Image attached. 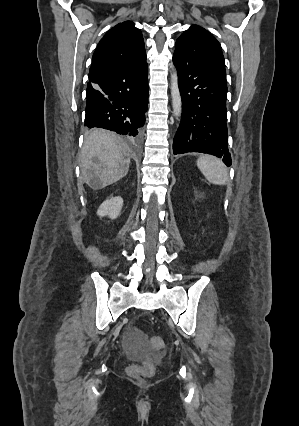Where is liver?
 Returning a JSON list of instances; mask_svg holds the SVG:
<instances>
[{
    "label": "liver",
    "instance_id": "6515ba94",
    "mask_svg": "<svg viewBox=\"0 0 299 426\" xmlns=\"http://www.w3.org/2000/svg\"><path fill=\"white\" fill-rule=\"evenodd\" d=\"M132 151L118 136L94 130L84 140L80 154L81 178L99 189L122 179L129 171Z\"/></svg>",
    "mask_w": 299,
    "mask_h": 426
}]
</instances>
